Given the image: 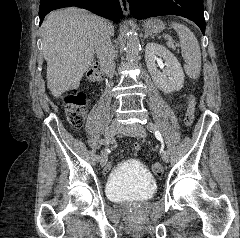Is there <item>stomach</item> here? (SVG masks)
<instances>
[{"instance_id": "0dacf381", "label": "stomach", "mask_w": 240, "mask_h": 238, "mask_svg": "<svg viewBox=\"0 0 240 238\" xmlns=\"http://www.w3.org/2000/svg\"><path fill=\"white\" fill-rule=\"evenodd\" d=\"M164 24L160 20H148L144 23V29L148 33H158L164 29Z\"/></svg>"}]
</instances>
